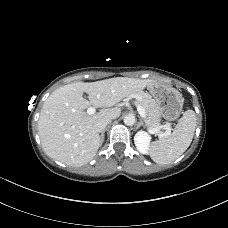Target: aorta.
I'll return each instance as SVG.
<instances>
[{
	"label": "aorta",
	"mask_w": 228,
	"mask_h": 228,
	"mask_svg": "<svg viewBox=\"0 0 228 228\" xmlns=\"http://www.w3.org/2000/svg\"><path fill=\"white\" fill-rule=\"evenodd\" d=\"M135 123V117L132 115H127L124 117V124L127 126H132Z\"/></svg>",
	"instance_id": "762f6f07"
}]
</instances>
